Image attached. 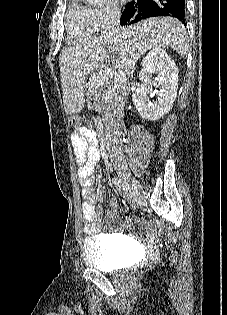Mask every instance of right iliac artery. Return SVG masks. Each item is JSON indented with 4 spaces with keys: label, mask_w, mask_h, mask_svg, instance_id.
<instances>
[{
    "label": "right iliac artery",
    "mask_w": 227,
    "mask_h": 315,
    "mask_svg": "<svg viewBox=\"0 0 227 315\" xmlns=\"http://www.w3.org/2000/svg\"><path fill=\"white\" fill-rule=\"evenodd\" d=\"M113 184L119 189H123L125 191L129 190V186L118 177L113 178Z\"/></svg>",
    "instance_id": "1"
}]
</instances>
